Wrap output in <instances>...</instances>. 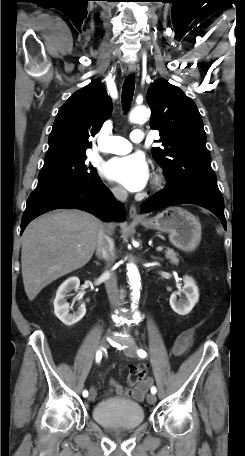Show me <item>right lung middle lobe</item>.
<instances>
[{"mask_svg":"<svg viewBox=\"0 0 245 456\" xmlns=\"http://www.w3.org/2000/svg\"><path fill=\"white\" fill-rule=\"evenodd\" d=\"M86 155L44 166L38 179L35 191L56 187L90 183L99 176L92 166L85 164Z\"/></svg>","mask_w":245,"mask_h":456,"instance_id":"right-lung-middle-lobe-1","label":"right lung middle lobe"}]
</instances>
